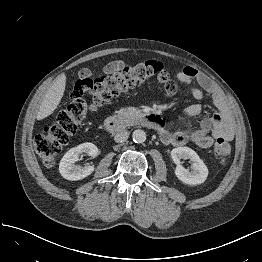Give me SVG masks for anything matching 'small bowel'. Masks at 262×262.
Listing matches in <instances>:
<instances>
[{"label":"small bowel","instance_id":"1","mask_svg":"<svg viewBox=\"0 0 262 262\" xmlns=\"http://www.w3.org/2000/svg\"><path fill=\"white\" fill-rule=\"evenodd\" d=\"M176 79L191 89L195 99L201 100L205 95H210L217 112L201 120L200 125L193 131L181 128L186 120L202 114L199 104H192L184 111V117L172 130L163 126L157 128L160 140L167 145L180 146L186 142H193L202 148H210L216 139L232 140L234 131L230 120V111L227 99L195 68L187 66L176 73ZM200 87H198L197 85ZM177 84L173 81L164 83V95L173 96L177 92Z\"/></svg>","mask_w":262,"mask_h":262}]
</instances>
